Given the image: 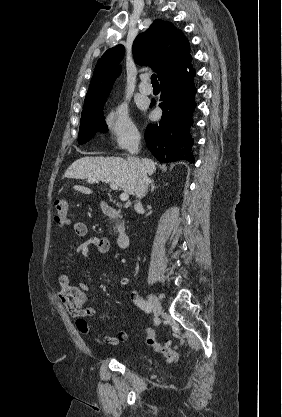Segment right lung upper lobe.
<instances>
[{
    "label": "right lung upper lobe",
    "mask_w": 282,
    "mask_h": 417,
    "mask_svg": "<svg viewBox=\"0 0 282 417\" xmlns=\"http://www.w3.org/2000/svg\"><path fill=\"white\" fill-rule=\"evenodd\" d=\"M124 46L119 44L108 49L99 59L86 97L110 93L122 67ZM189 43L183 33L173 24L155 20L150 28L139 34L133 43V57L139 65H149L159 80L191 60Z\"/></svg>",
    "instance_id": "cb5924a9"
}]
</instances>
